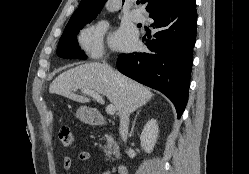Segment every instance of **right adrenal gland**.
<instances>
[{
  "label": "right adrenal gland",
  "instance_id": "1",
  "mask_svg": "<svg viewBox=\"0 0 249 174\" xmlns=\"http://www.w3.org/2000/svg\"><path fill=\"white\" fill-rule=\"evenodd\" d=\"M139 111H140V110L137 111V113H136V115H135V118H134V120H133L132 128H131V131H130V134H129L130 137L133 135V131H134V127H135V122H136L137 116H138V114H139Z\"/></svg>",
  "mask_w": 249,
  "mask_h": 174
}]
</instances>
